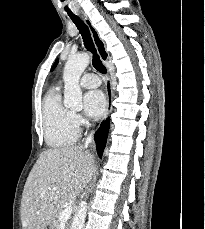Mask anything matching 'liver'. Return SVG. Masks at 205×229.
I'll return each instance as SVG.
<instances>
[{"label":"liver","instance_id":"obj_1","mask_svg":"<svg viewBox=\"0 0 205 229\" xmlns=\"http://www.w3.org/2000/svg\"><path fill=\"white\" fill-rule=\"evenodd\" d=\"M95 170L94 156L81 146L44 151L24 186L21 200L24 229H46L60 206L80 194Z\"/></svg>","mask_w":205,"mask_h":229}]
</instances>
